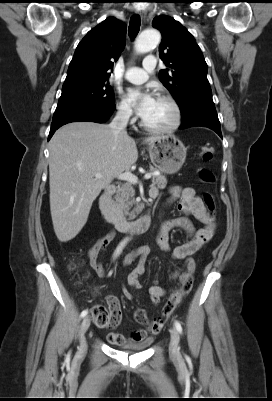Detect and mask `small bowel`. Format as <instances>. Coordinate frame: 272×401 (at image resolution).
I'll return each instance as SVG.
<instances>
[{"label":"small bowel","instance_id":"c3829d8e","mask_svg":"<svg viewBox=\"0 0 272 401\" xmlns=\"http://www.w3.org/2000/svg\"><path fill=\"white\" fill-rule=\"evenodd\" d=\"M151 197L156 198L159 194L158 189H151ZM170 203H177V208L181 212V216L175 219L164 222L160 228L157 236V243L159 247L170 252L174 260H184V266L181 270L176 271L172 274L173 278L178 279L181 282H185L190 278L195 268L194 255L200 248H202L213 236L215 232V221L209 216L206 207L200 197L195 193V190L191 187H173L170 190ZM190 216L194 217L203 224V227L196 229L191 220ZM182 229L189 236L188 240L183 244L171 248L169 244V233L173 229ZM115 233L113 231L101 236L91 246L88 251V259L93 270L100 276L104 277L106 272L101 263V257L104 251L107 249L109 244L114 238ZM150 249L147 246H140L133 252L128 254L124 261V265L131 264L135 259H139L137 266L128 274L127 285L134 289H140V276L145 271V264L149 255ZM165 294V289L155 283L149 288L150 302L153 305L159 304L162 296ZM123 295L127 300H132V293L124 288ZM107 307L112 314L111 328H115L120 324L121 321V306L118 299L115 296L108 295L105 298ZM138 312V311H137ZM135 314V318L137 316ZM137 320V318H136ZM138 323L145 325V328L135 330L131 332L127 337L118 333L111 332L107 335V338L111 344L122 345L127 342H142L147 341L149 334H157L163 323H151L143 324L137 320Z\"/></svg>","mask_w":272,"mask_h":401}]
</instances>
